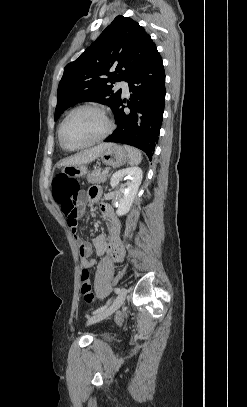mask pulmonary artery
Segmentation results:
<instances>
[{"mask_svg": "<svg viewBox=\"0 0 247 407\" xmlns=\"http://www.w3.org/2000/svg\"><path fill=\"white\" fill-rule=\"evenodd\" d=\"M119 86L122 88V91L124 93V95H128L129 94V87H128V83L125 81H121L119 83Z\"/></svg>", "mask_w": 247, "mask_h": 407, "instance_id": "e3ab8cb5", "label": "pulmonary artery"}]
</instances>
